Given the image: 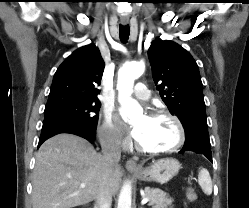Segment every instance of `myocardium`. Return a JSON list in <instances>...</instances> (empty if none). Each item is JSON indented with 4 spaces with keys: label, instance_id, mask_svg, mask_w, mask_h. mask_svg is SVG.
Segmentation results:
<instances>
[{
    "label": "myocardium",
    "instance_id": "myocardium-1",
    "mask_svg": "<svg viewBox=\"0 0 249 208\" xmlns=\"http://www.w3.org/2000/svg\"><path fill=\"white\" fill-rule=\"evenodd\" d=\"M149 116L150 117H167L171 119L175 123L178 129V134H179L178 141L173 146L169 148H164V149H148V148L141 146L139 142L136 141L135 147L139 152L144 153V154H149V155L168 154V153L175 152L180 147H182V145L184 144L186 140V131H185V127L182 121L176 115H174L173 113L167 110L156 109V110L151 111Z\"/></svg>",
    "mask_w": 249,
    "mask_h": 208
}]
</instances>
